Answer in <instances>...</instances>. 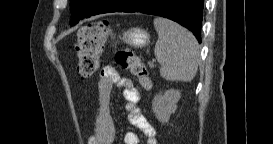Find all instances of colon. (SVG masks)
I'll use <instances>...</instances> for the list:
<instances>
[{"mask_svg":"<svg viewBox=\"0 0 273 144\" xmlns=\"http://www.w3.org/2000/svg\"><path fill=\"white\" fill-rule=\"evenodd\" d=\"M109 33L110 25L106 20L90 23L80 29L76 51L77 72L81 79H88L97 71L101 49ZM115 62L137 77L145 89L150 88L146 67L130 49H120L116 54Z\"/></svg>","mask_w":273,"mask_h":144,"instance_id":"obj_1","label":"colon"}]
</instances>
